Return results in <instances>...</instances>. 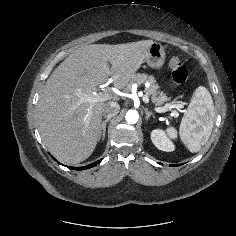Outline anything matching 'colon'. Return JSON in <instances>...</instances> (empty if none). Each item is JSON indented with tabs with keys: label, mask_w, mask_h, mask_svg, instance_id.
I'll list each match as a JSON object with an SVG mask.
<instances>
[{
	"label": "colon",
	"mask_w": 236,
	"mask_h": 236,
	"mask_svg": "<svg viewBox=\"0 0 236 236\" xmlns=\"http://www.w3.org/2000/svg\"><path fill=\"white\" fill-rule=\"evenodd\" d=\"M168 64L171 69L173 81L177 84L185 85L189 78V70L183 64L182 59L176 54H171Z\"/></svg>",
	"instance_id": "1"
}]
</instances>
